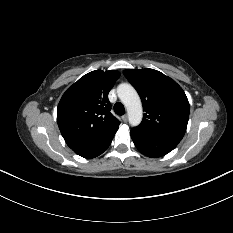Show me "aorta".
I'll return each instance as SVG.
<instances>
[{"label": "aorta", "instance_id": "obj_1", "mask_svg": "<svg viewBox=\"0 0 233 233\" xmlns=\"http://www.w3.org/2000/svg\"><path fill=\"white\" fill-rule=\"evenodd\" d=\"M117 94L127 109L129 123L138 126L142 121L143 108L137 91L132 85L122 83L117 87Z\"/></svg>", "mask_w": 233, "mask_h": 233}]
</instances>
